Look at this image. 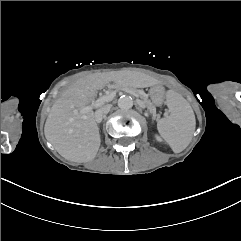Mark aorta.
Segmentation results:
<instances>
[{
    "mask_svg": "<svg viewBox=\"0 0 241 241\" xmlns=\"http://www.w3.org/2000/svg\"><path fill=\"white\" fill-rule=\"evenodd\" d=\"M133 106V99L131 96H121L118 99V107L122 110H129Z\"/></svg>",
    "mask_w": 241,
    "mask_h": 241,
    "instance_id": "762f6f07",
    "label": "aorta"
}]
</instances>
